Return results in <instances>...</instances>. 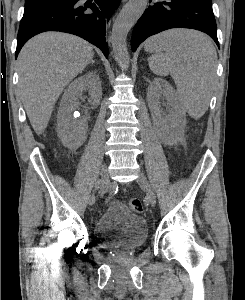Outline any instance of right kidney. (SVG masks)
<instances>
[{
  "instance_id": "1",
  "label": "right kidney",
  "mask_w": 245,
  "mask_h": 300,
  "mask_svg": "<svg viewBox=\"0 0 245 300\" xmlns=\"http://www.w3.org/2000/svg\"><path fill=\"white\" fill-rule=\"evenodd\" d=\"M86 91L90 95V108H96L102 98L101 81L96 72H89L75 79L65 90L60 103L57 133L62 143L71 149H77L86 138L88 129L86 118L74 117V111L79 108V98Z\"/></svg>"
}]
</instances>
